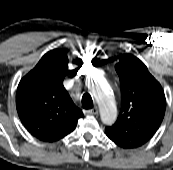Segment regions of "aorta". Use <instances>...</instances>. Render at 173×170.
Masks as SVG:
<instances>
[{
    "label": "aorta",
    "instance_id": "762f6f07",
    "mask_svg": "<svg viewBox=\"0 0 173 170\" xmlns=\"http://www.w3.org/2000/svg\"><path fill=\"white\" fill-rule=\"evenodd\" d=\"M87 84L98 102L102 122L112 125L117 118V108L108 85L97 76L91 77Z\"/></svg>",
    "mask_w": 173,
    "mask_h": 170
}]
</instances>
